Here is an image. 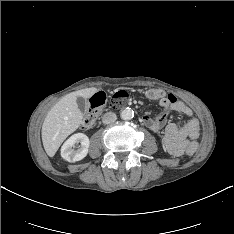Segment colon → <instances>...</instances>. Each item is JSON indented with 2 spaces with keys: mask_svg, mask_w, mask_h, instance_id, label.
<instances>
[{
  "mask_svg": "<svg viewBox=\"0 0 234 234\" xmlns=\"http://www.w3.org/2000/svg\"><path fill=\"white\" fill-rule=\"evenodd\" d=\"M146 96L152 100H160L164 94L158 90H149L146 92ZM129 100V94L126 90H119L115 92L109 99L102 92L94 94L89 99V111L82 122V129H89L93 126L96 118L101 109L108 104L111 109H121L127 105ZM200 146L199 140H194L193 143L185 149L184 158L190 159L191 154L195 152Z\"/></svg>",
  "mask_w": 234,
  "mask_h": 234,
  "instance_id": "5ec220e1",
  "label": "colon"
}]
</instances>
